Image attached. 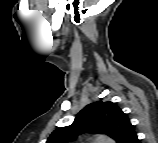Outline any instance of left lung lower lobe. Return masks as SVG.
I'll list each match as a JSON object with an SVG mask.
<instances>
[{
    "label": "left lung lower lobe",
    "instance_id": "0a47b994",
    "mask_svg": "<svg viewBox=\"0 0 158 143\" xmlns=\"http://www.w3.org/2000/svg\"><path fill=\"white\" fill-rule=\"evenodd\" d=\"M138 138H137V135H135L130 141L129 143H138Z\"/></svg>",
    "mask_w": 158,
    "mask_h": 143
}]
</instances>
